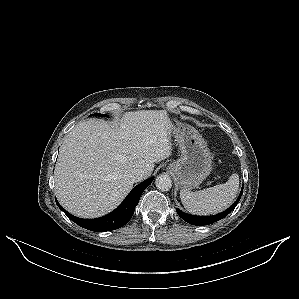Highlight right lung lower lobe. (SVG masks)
I'll use <instances>...</instances> for the list:
<instances>
[{"label": "right lung lower lobe", "mask_w": 299, "mask_h": 299, "mask_svg": "<svg viewBox=\"0 0 299 299\" xmlns=\"http://www.w3.org/2000/svg\"><path fill=\"white\" fill-rule=\"evenodd\" d=\"M152 181L153 177L137 185L114 211L96 219H82L75 217L61 207L57 200L56 203L68 218L85 229L95 232L115 230L124 226L131 219L143 191Z\"/></svg>", "instance_id": "1"}]
</instances>
